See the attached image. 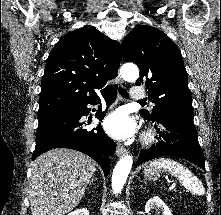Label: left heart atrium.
Listing matches in <instances>:
<instances>
[{
  "instance_id": "obj_1",
  "label": "left heart atrium",
  "mask_w": 221,
  "mask_h": 215,
  "mask_svg": "<svg viewBox=\"0 0 221 215\" xmlns=\"http://www.w3.org/2000/svg\"><path fill=\"white\" fill-rule=\"evenodd\" d=\"M104 128L108 134L116 139H126L135 132V122L124 109H117L106 117Z\"/></svg>"
}]
</instances>
